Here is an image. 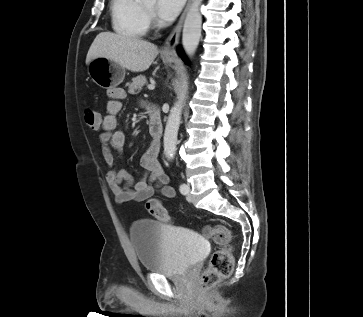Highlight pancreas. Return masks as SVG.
I'll return each instance as SVG.
<instances>
[{
    "label": "pancreas",
    "mask_w": 363,
    "mask_h": 317,
    "mask_svg": "<svg viewBox=\"0 0 363 317\" xmlns=\"http://www.w3.org/2000/svg\"><path fill=\"white\" fill-rule=\"evenodd\" d=\"M145 84H147V79L144 75L134 77L132 82L128 84V93L132 95L137 94Z\"/></svg>",
    "instance_id": "cf45deb5"
}]
</instances>
